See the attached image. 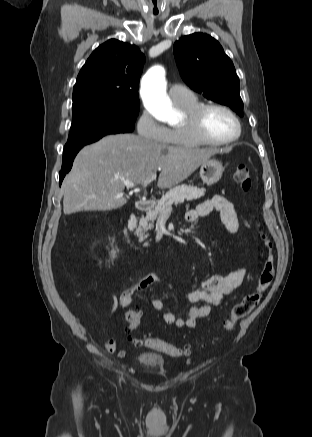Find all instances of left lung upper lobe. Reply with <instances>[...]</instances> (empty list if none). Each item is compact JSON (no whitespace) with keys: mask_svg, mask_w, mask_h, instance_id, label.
<instances>
[{"mask_svg":"<svg viewBox=\"0 0 312 437\" xmlns=\"http://www.w3.org/2000/svg\"><path fill=\"white\" fill-rule=\"evenodd\" d=\"M174 56L187 85L243 116L239 78L217 40L205 33L184 36L174 43Z\"/></svg>","mask_w":312,"mask_h":437,"instance_id":"5c2ea615","label":"left lung upper lobe"}]
</instances>
